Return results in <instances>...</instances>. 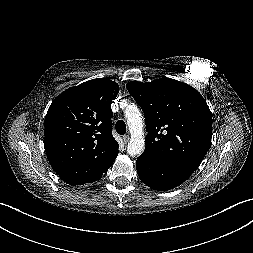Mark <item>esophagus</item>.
I'll return each instance as SVG.
<instances>
[{
    "label": "esophagus",
    "instance_id": "34e87169",
    "mask_svg": "<svg viewBox=\"0 0 253 253\" xmlns=\"http://www.w3.org/2000/svg\"><path fill=\"white\" fill-rule=\"evenodd\" d=\"M130 137L128 135H125L122 137L123 142L126 144L129 142Z\"/></svg>",
    "mask_w": 253,
    "mask_h": 253
}]
</instances>
